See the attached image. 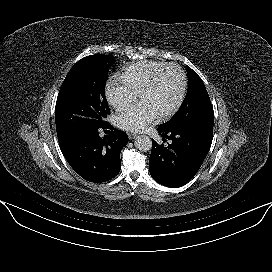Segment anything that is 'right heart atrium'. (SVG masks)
Masks as SVG:
<instances>
[{
    "label": "right heart atrium",
    "instance_id": "obj_1",
    "mask_svg": "<svg viewBox=\"0 0 272 272\" xmlns=\"http://www.w3.org/2000/svg\"><path fill=\"white\" fill-rule=\"evenodd\" d=\"M108 103L116 110H122L136 101L137 94L117 78H111L105 90Z\"/></svg>",
    "mask_w": 272,
    "mask_h": 272
}]
</instances>
